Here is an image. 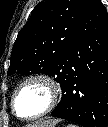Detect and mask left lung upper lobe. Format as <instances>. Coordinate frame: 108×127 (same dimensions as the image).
<instances>
[{"label": "left lung upper lobe", "mask_w": 108, "mask_h": 127, "mask_svg": "<svg viewBox=\"0 0 108 127\" xmlns=\"http://www.w3.org/2000/svg\"><path fill=\"white\" fill-rule=\"evenodd\" d=\"M89 0H45L31 12L14 43L7 74L46 73L62 86L63 65Z\"/></svg>", "instance_id": "5c2ea615"}]
</instances>
